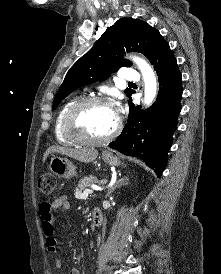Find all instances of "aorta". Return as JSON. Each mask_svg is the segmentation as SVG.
<instances>
[{
    "mask_svg": "<svg viewBox=\"0 0 221 274\" xmlns=\"http://www.w3.org/2000/svg\"><path fill=\"white\" fill-rule=\"evenodd\" d=\"M130 59L136 63L144 79V104L150 106L157 94V80L151 66L142 58L130 56Z\"/></svg>",
    "mask_w": 221,
    "mask_h": 274,
    "instance_id": "aorta-1",
    "label": "aorta"
}]
</instances>
